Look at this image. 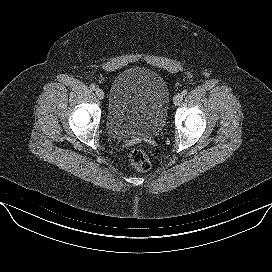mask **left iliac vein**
Returning a JSON list of instances; mask_svg holds the SVG:
<instances>
[{
	"label": "left iliac vein",
	"instance_id": "1",
	"mask_svg": "<svg viewBox=\"0 0 272 272\" xmlns=\"http://www.w3.org/2000/svg\"><path fill=\"white\" fill-rule=\"evenodd\" d=\"M183 100V96L181 94H177L173 98V103L177 106L179 105Z\"/></svg>",
	"mask_w": 272,
	"mask_h": 272
}]
</instances>
